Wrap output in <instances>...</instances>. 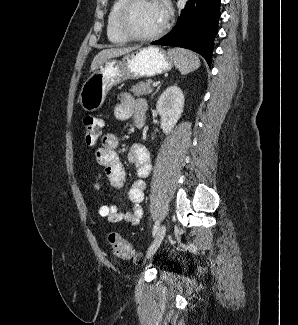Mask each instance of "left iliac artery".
<instances>
[{"label":"left iliac artery","mask_w":298,"mask_h":325,"mask_svg":"<svg viewBox=\"0 0 298 325\" xmlns=\"http://www.w3.org/2000/svg\"><path fill=\"white\" fill-rule=\"evenodd\" d=\"M158 228H159V221H156L152 231L153 236L156 234Z\"/></svg>","instance_id":"left-iliac-artery-1"}]
</instances>
